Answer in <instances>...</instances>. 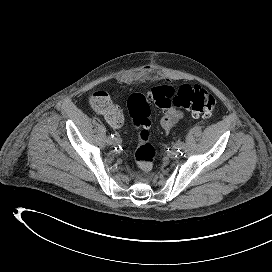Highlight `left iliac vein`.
<instances>
[{
	"mask_svg": "<svg viewBox=\"0 0 272 272\" xmlns=\"http://www.w3.org/2000/svg\"><path fill=\"white\" fill-rule=\"evenodd\" d=\"M176 154H178L176 148H175L173 151L170 152V155H171V156H174V155H176Z\"/></svg>",
	"mask_w": 272,
	"mask_h": 272,
	"instance_id": "4c4485c4",
	"label": "left iliac vein"
}]
</instances>
